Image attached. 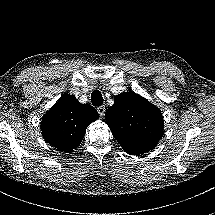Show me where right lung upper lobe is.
<instances>
[{"mask_svg": "<svg viewBox=\"0 0 215 215\" xmlns=\"http://www.w3.org/2000/svg\"><path fill=\"white\" fill-rule=\"evenodd\" d=\"M98 112L90 104H80L75 96L66 94L50 108L41 121V133L47 143L63 152L76 149Z\"/></svg>", "mask_w": 215, "mask_h": 215, "instance_id": "right-lung-upper-lobe-1", "label": "right lung upper lobe"}]
</instances>
